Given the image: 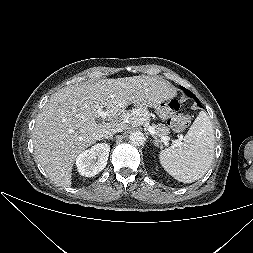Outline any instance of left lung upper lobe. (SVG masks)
Wrapping results in <instances>:
<instances>
[{
  "mask_svg": "<svg viewBox=\"0 0 253 253\" xmlns=\"http://www.w3.org/2000/svg\"><path fill=\"white\" fill-rule=\"evenodd\" d=\"M185 89V88H184ZM185 92H186V94H188V90L187 89H185Z\"/></svg>",
  "mask_w": 253,
  "mask_h": 253,
  "instance_id": "5c2ea615",
  "label": "left lung upper lobe"
}]
</instances>
